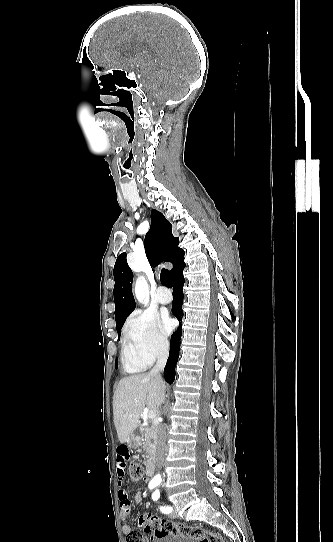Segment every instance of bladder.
Returning a JSON list of instances; mask_svg holds the SVG:
<instances>
[{
    "label": "bladder",
    "mask_w": 333,
    "mask_h": 542,
    "mask_svg": "<svg viewBox=\"0 0 333 542\" xmlns=\"http://www.w3.org/2000/svg\"><path fill=\"white\" fill-rule=\"evenodd\" d=\"M149 542H197L196 539L189 538L181 534H165Z\"/></svg>",
    "instance_id": "1"
}]
</instances>
